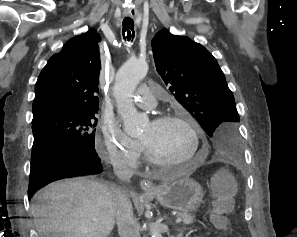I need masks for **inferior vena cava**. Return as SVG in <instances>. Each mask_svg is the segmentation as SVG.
Segmentation results:
<instances>
[{
  "label": "inferior vena cava",
  "mask_w": 297,
  "mask_h": 237,
  "mask_svg": "<svg viewBox=\"0 0 297 237\" xmlns=\"http://www.w3.org/2000/svg\"><path fill=\"white\" fill-rule=\"evenodd\" d=\"M114 173L122 182L132 177V171L124 166L114 168ZM113 204L120 237H140L139 226L133 216L132 204L123 190H114Z\"/></svg>",
  "instance_id": "obj_1"
}]
</instances>
